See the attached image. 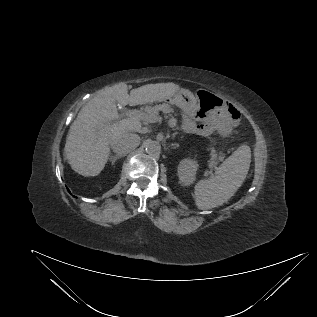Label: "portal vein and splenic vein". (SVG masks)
Listing matches in <instances>:
<instances>
[{
	"instance_id": "18ae733b",
	"label": "portal vein and splenic vein",
	"mask_w": 317,
	"mask_h": 317,
	"mask_svg": "<svg viewBox=\"0 0 317 317\" xmlns=\"http://www.w3.org/2000/svg\"><path fill=\"white\" fill-rule=\"evenodd\" d=\"M124 116L132 118L136 121L145 120L147 118L146 114L140 112L139 110H128L123 113ZM161 121V117L151 120V122Z\"/></svg>"
}]
</instances>
